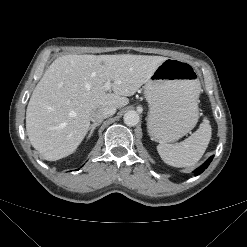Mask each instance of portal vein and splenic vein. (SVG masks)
<instances>
[{"mask_svg":"<svg viewBox=\"0 0 247 247\" xmlns=\"http://www.w3.org/2000/svg\"><path fill=\"white\" fill-rule=\"evenodd\" d=\"M105 87H106L107 89H109V88H110V83L107 82V83L105 84Z\"/></svg>","mask_w":247,"mask_h":247,"instance_id":"obj_1","label":"portal vein and splenic vein"}]
</instances>
